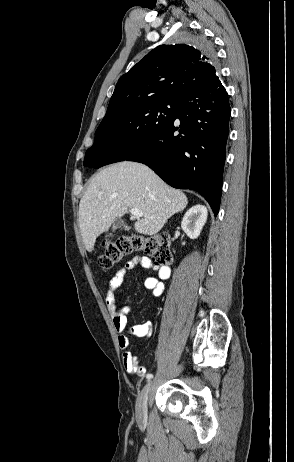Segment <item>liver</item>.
<instances>
[{
    "instance_id": "obj_1",
    "label": "liver",
    "mask_w": 294,
    "mask_h": 462,
    "mask_svg": "<svg viewBox=\"0 0 294 462\" xmlns=\"http://www.w3.org/2000/svg\"><path fill=\"white\" fill-rule=\"evenodd\" d=\"M187 204L182 191L168 186L146 165L129 161L110 165L97 173L80 200L78 217L85 248L91 252L96 238L129 209L143 212L135 230L154 235Z\"/></svg>"
}]
</instances>
